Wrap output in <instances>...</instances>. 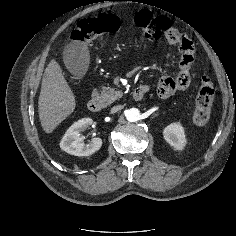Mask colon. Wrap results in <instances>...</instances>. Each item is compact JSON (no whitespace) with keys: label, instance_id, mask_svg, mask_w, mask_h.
I'll use <instances>...</instances> for the list:
<instances>
[{"label":"colon","instance_id":"colon-1","mask_svg":"<svg viewBox=\"0 0 236 236\" xmlns=\"http://www.w3.org/2000/svg\"><path fill=\"white\" fill-rule=\"evenodd\" d=\"M135 23L140 28L143 38L147 40L166 39L170 43H180L184 36L176 30L170 20L162 15H154L143 10L135 17ZM121 20L113 14H101L95 17L80 20L72 32V40L78 42H91L104 35L113 34L120 29ZM75 82V80H72ZM187 84L185 79L178 85L181 89ZM214 86L211 80L204 76L196 95L193 122L196 126H204L211 115L214 102Z\"/></svg>","mask_w":236,"mask_h":236}]
</instances>
